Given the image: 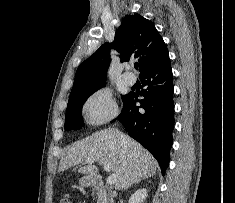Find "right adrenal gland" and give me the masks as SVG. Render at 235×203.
Instances as JSON below:
<instances>
[{
    "label": "right adrenal gland",
    "instance_id": "1",
    "mask_svg": "<svg viewBox=\"0 0 235 203\" xmlns=\"http://www.w3.org/2000/svg\"><path fill=\"white\" fill-rule=\"evenodd\" d=\"M140 181L141 180H138V181L134 182V185L138 184ZM129 188H131V186Z\"/></svg>",
    "mask_w": 235,
    "mask_h": 203
}]
</instances>
